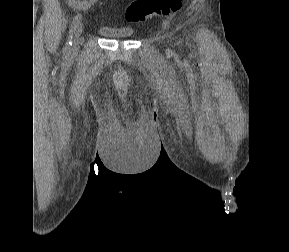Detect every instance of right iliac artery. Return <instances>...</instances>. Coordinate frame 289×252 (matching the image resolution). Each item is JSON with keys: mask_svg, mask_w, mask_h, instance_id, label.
<instances>
[{"mask_svg": "<svg viewBox=\"0 0 289 252\" xmlns=\"http://www.w3.org/2000/svg\"><path fill=\"white\" fill-rule=\"evenodd\" d=\"M81 18H82V15L79 13L73 18V21H72L71 26H70L69 37H68V40H67L65 48H64V52L66 54L70 53V51H71L73 33H74L78 23L80 22Z\"/></svg>", "mask_w": 289, "mask_h": 252, "instance_id": "obj_1", "label": "right iliac artery"}]
</instances>
